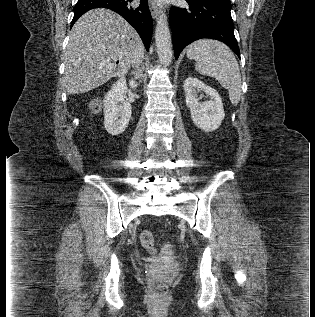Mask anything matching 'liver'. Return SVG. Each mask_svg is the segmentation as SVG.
<instances>
[{"instance_id":"1","label":"liver","mask_w":315,"mask_h":317,"mask_svg":"<svg viewBox=\"0 0 315 317\" xmlns=\"http://www.w3.org/2000/svg\"><path fill=\"white\" fill-rule=\"evenodd\" d=\"M143 51L137 32L117 13L108 9L85 13L72 27L64 53L67 93H85L112 77H123Z\"/></svg>"}]
</instances>
